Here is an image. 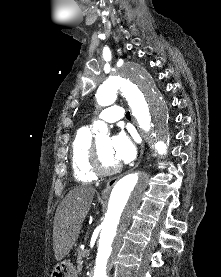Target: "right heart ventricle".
Listing matches in <instances>:
<instances>
[{"label":"right heart ventricle","instance_id":"right-heart-ventricle-1","mask_svg":"<svg viewBox=\"0 0 221 277\" xmlns=\"http://www.w3.org/2000/svg\"><path fill=\"white\" fill-rule=\"evenodd\" d=\"M92 143V133L88 127L77 131L71 148V165L77 182L90 183L96 179V175L90 167Z\"/></svg>","mask_w":221,"mask_h":277}]
</instances>
